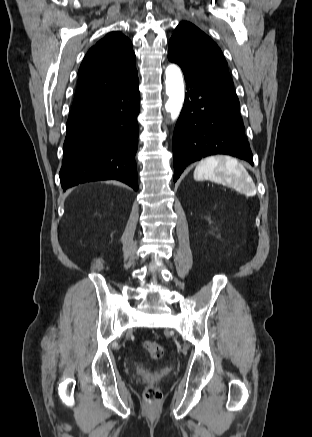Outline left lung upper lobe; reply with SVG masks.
<instances>
[{
	"instance_id": "obj_1",
	"label": "left lung upper lobe",
	"mask_w": 312,
	"mask_h": 437,
	"mask_svg": "<svg viewBox=\"0 0 312 437\" xmlns=\"http://www.w3.org/2000/svg\"><path fill=\"white\" fill-rule=\"evenodd\" d=\"M169 60L183 72L213 86L239 102L227 62L217 44L195 25L181 22L169 41Z\"/></svg>"
}]
</instances>
